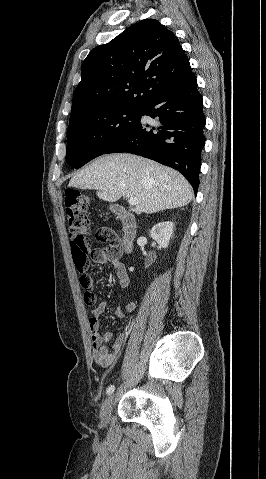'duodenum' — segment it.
<instances>
[{"label": "duodenum", "mask_w": 266, "mask_h": 479, "mask_svg": "<svg viewBox=\"0 0 266 479\" xmlns=\"http://www.w3.org/2000/svg\"><path fill=\"white\" fill-rule=\"evenodd\" d=\"M113 212L120 218L123 224V234L120 243L113 246L110 250L111 256L119 259L130 253L133 248V240L136 236V220L132 214L118 205L113 206Z\"/></svg>", "instance_id": "duodenum-1"}]
</instances>
